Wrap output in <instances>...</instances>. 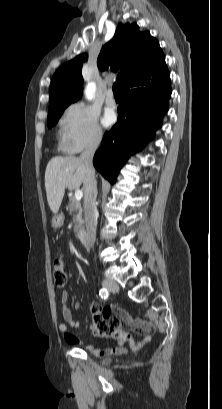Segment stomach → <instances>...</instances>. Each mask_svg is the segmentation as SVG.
<instances>
[{
  "label": "stomach",
  "mask_w": 222,
  "mask_h": 409,
  "mask_svg": "<svg viewBox=\"0 0 222 409\" xmlns=\"http://www.w3.org/2000/svg\"><path fill=\"white\" fill-rule=\"evenodd\" d=\"M52 224L56 228H60L61 226H63V224H64V215L63 214L56 215L54 217L53 221H52Z\"/></svg>",
  "instance_id": "stomach-1"
}]
</instances>
